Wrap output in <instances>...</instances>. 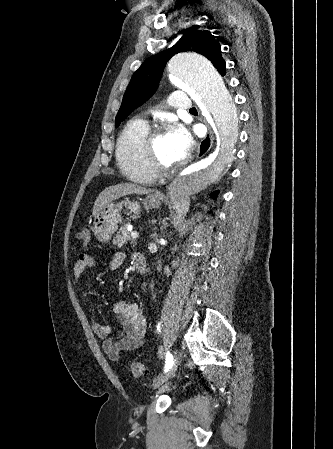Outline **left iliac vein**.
Returning <instances> with one entry per match:
<instances>
[{"label": "left iliac vein", "instance_id": "1", "mask_svg": "<svg viewBox=\"0 0 333 449\" xmlns=\"http://www.w3.org/2000/svg\"><path fill=\"white\" fill-rule=\"evenodd\" d=\"M179 361H180V355L178 354V351L176 350V351H174V362H173L172 367L170 368L169 371L158 375L153 380V383H152V388L153 389H157V388L162 387L171 378V376L177 370V367L179 365Z\"/></svg>", "mask_w": 333, "mask_h": 449}]
</instances>
